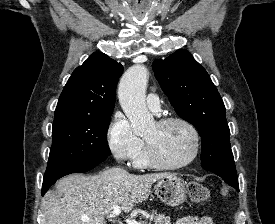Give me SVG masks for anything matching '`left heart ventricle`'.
<instances>
[{
  "label": "left heart ventricle",
  "instance_id": "b2bd125f",
  "mask_svg": "<svg viewBox=\"0 0 275 224\" xmlns=\"http://www.w3.org/2000/svg\"><path fill=\"white\" fill-rule=\"evenodd\" d=\"M144 138L153 146L157 155L169 164L182 163L193 152L192 134L186 126L178 122L165 126L154 123Z\"/></svg>",
  "mask_w": 275,
  "mask_h": 224
}]
</instances>
